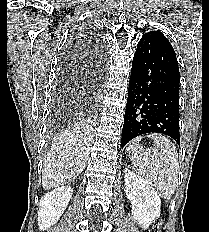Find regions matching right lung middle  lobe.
I'll use <instances>...</instances> for the list:
<instances>
[{"instance_id":"1","label":"right lung middle lobe","mask_w":209,"mask_h":232,"mask_svg":"<svg viewBox=\"0 0 209 232\" xmlns=\"http://www.w3.org/2000/svg\"><path fill=\"white\" fill-rule=\"evenodd\" d=\"M56 109V113L53 117V125H55L56 127H60L63 124H65V122L67 121V110H62V103H57L55 106Z\"/></svg>"}]
</instances>
